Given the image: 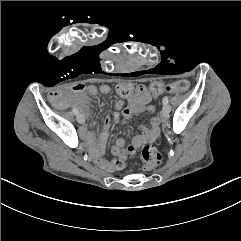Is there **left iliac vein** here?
<instances>
[{"label": "left iliac vein", "instance_id": "obj_1", "mask_svg": "<svg viewBox=\"0 0 241 241\" xmlns=\"http://www.w3.org/2000/svg\"><path fill=\"white\" fill-rule=\"evenodd\" d=\"M170 110H171L170 106L166 103V104L163 105L162 114L166 115L170 112Z\"/></svg>", "mask_w": 241, "mask_h": 241}]
</instances>
